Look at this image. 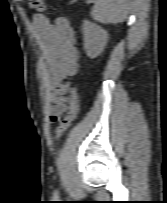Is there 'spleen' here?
<instances>
[{
	"label": "spleen",
	"instance_id": "1",
	"mask_svg": "<svg viewBox=\"0 0 167 203\" xmlns=\"http://www.w3.org/2000/svg\"><path fill=\"white\" fill-rule=\"evenodd\" d=\"M127 15V0H95L91 16L103 24H117Z\"/></svg>",
	"mask_w": 167,
	"mask_h": 203
}]
</instances>
